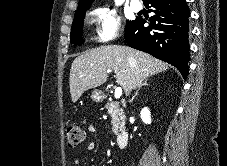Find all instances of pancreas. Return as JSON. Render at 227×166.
<instances>
[{
  "instance_id": "1",
  "label": "pancreas",
  "mask_w": 227,
  "mask_h": 166,
  "mask_svg": "<svg viewBox=\"0 0 227 166\" xmlns=\"http://www.w3.org/2000/svg\"><path fill=\"white\" fill-rule=\"evenodd\" d=\"M105 107L108 110V114L111 116L112 130L114 134H118L119 129L125 125L123 109L117 102H108Z\"/></svg>"
}]
</instances>
